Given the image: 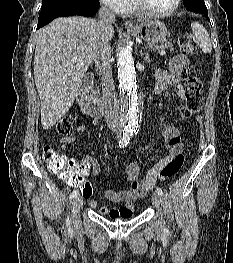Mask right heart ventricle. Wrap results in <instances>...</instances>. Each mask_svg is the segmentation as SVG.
Here are the masks:
<instances>
[{
	"mask_svg": "<svg viewBox=\"0 0 233 263\" xmlns=\"http://www.w3.org/2000/svg\"><path fill=\"white\" fill-rule=\"evenodd\" d=\"M134 11V8L130 5L126 11V13H130V12H133Z\"/></svg>",
	"mask_w": 233,
	"mask_h": 263,
	"instance_id": "obj_1",
	"label": "right heart ventricle"
}]
</instances>
